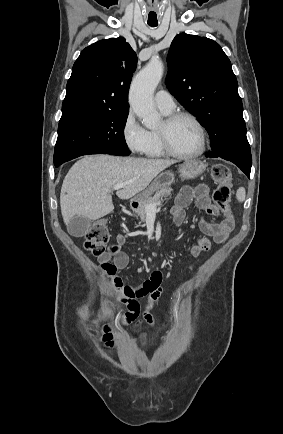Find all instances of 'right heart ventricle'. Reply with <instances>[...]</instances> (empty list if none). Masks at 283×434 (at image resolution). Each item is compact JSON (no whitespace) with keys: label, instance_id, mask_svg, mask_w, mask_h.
<instances>
[{"label":"right heart ventricle","instance_id":"right-heart-ventricle-1","mask_svg":"<svg viewBox=\"0 0 283 434\" xmlns=\"http://www.w3.org/2000/svg\"><path fill=\"white\" fill-rule=\"evenodd\" d=\"M164 115H168L171 112L161 111ZM144 154L150 158H160L164 157L166 153L164 152L161 141L159 138L158 130H149L148 131V143Z\"/></svg>","mask_w":283,"mask_h":434}]
</instances>
